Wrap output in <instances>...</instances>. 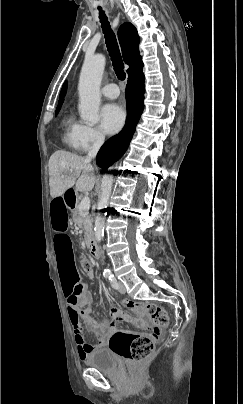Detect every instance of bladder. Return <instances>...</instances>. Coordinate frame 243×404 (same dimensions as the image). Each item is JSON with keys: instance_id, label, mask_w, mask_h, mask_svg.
<instances>
[{"instance_id": "1", "label": "bladder", "mask_w": 243, "mask_h": 404, "mask_svg": "<svg viewBox=\"0 0 243 404\" xmlns=\"http://www.w3.org/2000/svg\"><path fill=\"white\" fill-rule=\"evenodd\" d=\"M85 364L105 374H113L119 370V364L112 351L99 347L91 350L84 359Z\"/></svg>"}]
</instances>
